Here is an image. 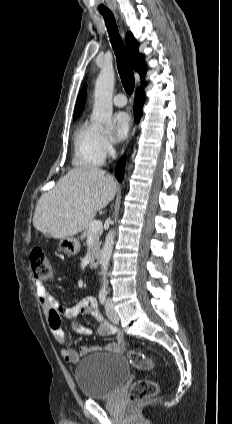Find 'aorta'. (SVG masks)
Wrapping results in <instances>:
<instances>
[{"mask_svg":"<svg viewBox=\"0 0 232 424\" xmlns=\"http://www.w3.org/2000/svg\"><path fill=\"white\" fill-rule=\"evenodd\" d=\"M115 73L112 66H104L95 83L94 91V106L91 119L92 121L100 126H104L108 129L113 128L112 120V97L114 89ZM115 231L112 229L108 232L105 238L103 248L101 250V276L102 286L101 292H106L107 287V269L111 259L113 245H114Z\"/></svg>","mask_w":232,"mask_h":424,"instance_id":"762f6f07","label":"aorta"}]
</instances>
